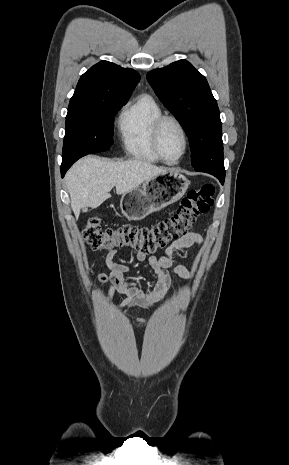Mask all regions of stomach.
Here are the masks:
<instances>
[{
    "label": "stomach",
    "mask_w": 289,
    "mask_h": 465,
    "mask_svg": "<svg viewBox=\"0 0 289 465\" xmlns=\"http://www.w3.org/2000/svg\"><path fill=\"white\" fill-rule=\"evenodd\" d=\"M190 181L181 173L169 170L145 181L141 188L121 197L122 214L129 220H142L178 201L185 194Z\"/></svg>",
    "instance_id": "obj_1"
}]
</instances>
